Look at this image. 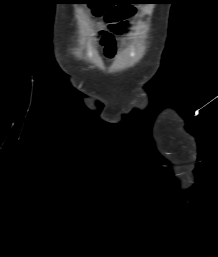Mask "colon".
<instances>
[{
	"label": "colon",
	"instance_id": "5ec220e1",
	"mask_svg": "<svg viewBox=\"0 0 218 257\" xmlns=\"http://www.w3.org/2000/svg\"><path fill=\"white\" fill-rule=\"evenodd\" d=\"M84 10H108L105 20L117 33L126 31L129 26L127 18L136 12L128 10H145V5H84ZM108 52H113L110 48Z\"/></svg>",
	"mask_w": 218,
	"mask_h": 257
}]
</instances>
